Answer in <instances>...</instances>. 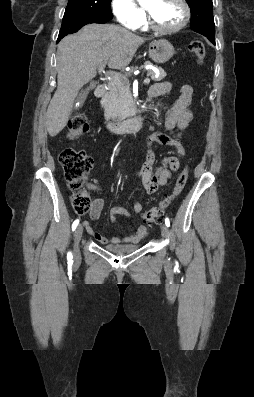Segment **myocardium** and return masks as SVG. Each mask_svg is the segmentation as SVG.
Instances as JSON below:
<instances>
[{
    "instance_id": "myocardium-1",
    "label": "myocardium",
    "mask_w": 254,
    "mask_h": 397,
    "mask_svg": "<svg viewBox=\"0 0 254 397\" xmlns=\"http://www.w3.org/2000/svg\"><path fill=\"white\" fill-rule=\"evenodd\" d=\"M176 1L181 5V7L183 9L182 19L176 26L171 27V28H163V27L158 26L155 23L151 13L148 10H146V21H147L148 27L150 29H152L153 31H155L157 33H161V34H172V33H176L178 31H180L181 29H183L189 21L190 8H189L188 3L185 0H176Z\"/></svg>"
}]
</instances>
